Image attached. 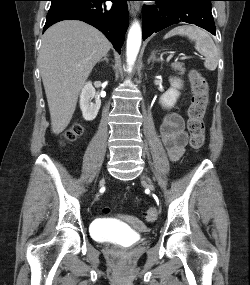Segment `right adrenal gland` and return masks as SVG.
<instances>
[{"mask_svg":"<svg viewBox=\"0 0 250 285\" xmlns=\"http://www.w3.org/2000/svg\"><path fill=\"white\" fill-rule=\"evenodd\" d=\"M103 61H106L107 63L109 62L108 55H106L103 59L100 60V62H103Z\"/></svg>","mask_w":250,"mask_h":285,"instance_id":"right-adrenal-gland-1","label":"right adrenal gland"}]
</instances>
